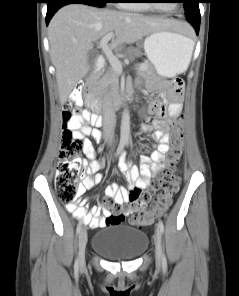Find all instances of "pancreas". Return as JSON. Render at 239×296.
I'll list each match as a JSON object with an SVG mask.
<instances>
[{
  "label": "pancreas",
  "mask_w": 239,
  "mask_h": 296,
  "mask_svg": "<svg viewBox=\"0 0 239 296\" xmlns=\"http://www.w3.org/2000/svg\"><path fill=\"white\" fill-rule=\"evenodd\" d=\"M127 55L129 58H133L140 55V52L135 49H130L127 51ZM144 65L147 69L142 72V75L146 78H150L154 74V70L150 63L146 62ZM106 89H109L113 94H117L119 92V76L113 68H109L98 80V87L96 88V91L103 93Z\"/></svg>",
  "instance_id": "pancreas-1"
}]
</instances>
